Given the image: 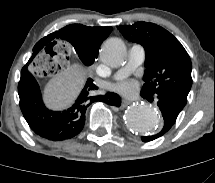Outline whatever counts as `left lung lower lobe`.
Listing matches in <instances>:
<instances>
[{"label": "left lung lower lobe", "instance_id": "0a47b994", "mask_svg": "<svg viewBox=\"0 0 215 183\" xmlns=\"http://www.w3.org/2000/svg\"><path fill=\"white\" fill-rule=\"evenodd\" d=\"M141 95L143 97H146L149 101L153 100V97L151 95H144L142 92ZM155 97L157 98V105L159 106L162 112V116L164 118V127L162 131L156 135L142 137V140L144 142L154 140L165 134L174 125L178 114L182 111V109L185 106L176 98L170 95L159 94L155 95Z\"/></svg>", "mask_w": 215, "mask_h": 183}]
</instances>
